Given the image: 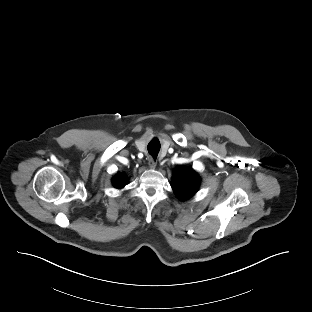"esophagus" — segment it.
<instances>
[{"instance_id": "obj_1", "label": "esophagus", "mask_w": 312, "mask_h": 312, "mask_svg": "<svg viewBox=\"0 0 312 312\" xmlns=\"http://www.w3.org/2000/svg\"><path fill=\"white\" fill-rule=\"evenodd\" d=\"M148 165L150 169H155L157 162L153 158H151L148 162Z\"/></svg>"}]
</instances>
